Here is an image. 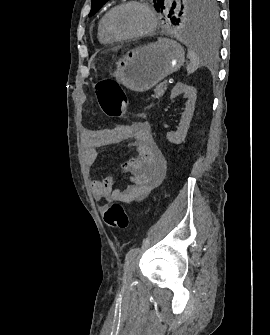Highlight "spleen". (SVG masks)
Instances as JSON below:
<instances>
[{"mask_svg": "<svg viewBox=\"0 0 270 335\" xmlns=\"http://www.w3.org/2000/svg\"><path fill=\"white\" fill-rule=\"evenodd\" d=\"M188 46V58L191 60V64L187 66L188 74H193L201 62H209L210 54L207 50V46L202 42H194V44H186Z\"/></svg>", "mask_w": 270, "mask_h": 335, "instance_id": "spleen-1", "label": "spleen"}]
</instances>
